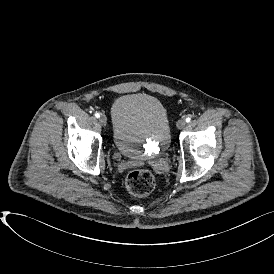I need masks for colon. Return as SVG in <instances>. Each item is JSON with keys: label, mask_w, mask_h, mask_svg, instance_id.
Returning a JSON list of instances; mask_svg holds the SVG:
<instances>
[{"label": "colon", "mask_w": 274, "mask_h": 274, "mask_svg": "<svg viewBox=\"0 0 274 274\" xmlns=\"http://www.w3.org/2000/svg\"><path fill=\"white\" fill-rule=\"evenodd\" d=\"M125 185L131 194L144 197L155 189L156 178L147 170H136L126 177Z\"/></svg>", "instance_id": "1"}]
</instances>
